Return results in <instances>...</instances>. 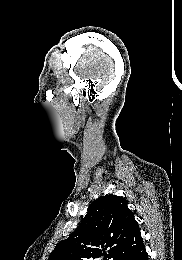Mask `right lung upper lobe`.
<instances>
[{"instance_id": "cb5924a9", "label": "right lung upper lobe", "mask_w": 182, "mask_h": 260, "mask_svg": "<svg viewBox=\"0 0 182 260\" xmlns=\"http://www.w3.org/2000/svg\"><path fill=\"white\" fill-rule=\"evenodd\" d=\"M123 197L107 194L96 199L69 238L59 242L48 260L95 259L107 250L118 258L142 241L138 223Z\"/></svg>"}]
</instances>
